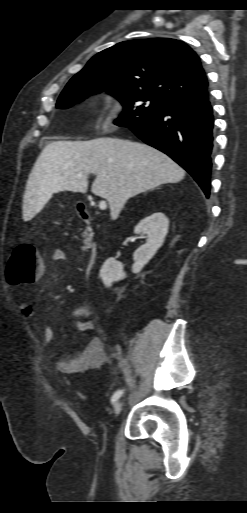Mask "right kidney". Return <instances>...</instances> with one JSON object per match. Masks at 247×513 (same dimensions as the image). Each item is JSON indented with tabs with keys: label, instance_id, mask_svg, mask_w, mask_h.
Here are the masks:
<instances>
[{
	"label": "right kidney",
	"instance_id": "1",
	"mask_svg": "<svg viewBox=\"0 0 247 513\" xmlns=\"http://www.w3.org/2000/svg\"><path fill=\"white\" fill-rule=\"evenodd\" d=\"M169 219L162 212H156L141 220L135 227L134 233L146 237V243L134 252V273L139 272L163 245L168 233ZM146 235V236H144ZM100 277L106 287L125 277L123 266L114 258L107 259L100 269Z\"/></svg>",
	"mask_w": 247,
	"mask_h": 513
}]
</instances>
